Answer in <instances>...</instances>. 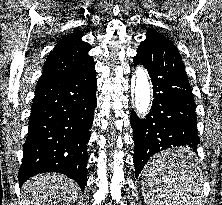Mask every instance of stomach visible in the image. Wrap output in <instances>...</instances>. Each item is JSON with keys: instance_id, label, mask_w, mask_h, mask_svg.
Masks as SVG:
<instances>
[{"instance_id": "obj_1", "label": "stomach", "mask_w": 222, "mask_h": 205, "mask_svg": "<svg viewBox=\"0 0 222 205\" xmlns=\"http://www.w3.org/2000/svg\"><path fill=\"white\" fill-rule=\"evenodd\" d=\"M188 149L186 148H173V149H170V150H167L165 151L164 153L162 154H167L169 156H187V158H190L191 159V154L187 153Z\"/></svg>"}]
</instances>
